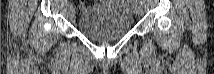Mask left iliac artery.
Wrapping results in <instances>:
<instances>
[{"mask_svg": "<svg viewBox=\"0 0 214 74\" xmlns=\"http://www.w3.org/2000/svg\"><path fill=\"white\" fill-rule=\"evenodd\" d=\"M138 2H139V4H140V5H142V4H143V1H142V0H140V1H138Z\"/></svg>", "mask_w": 214, "mask_h": 74, "instance_id": "left-iliac-artery-1", "label": "left iliac artery"}]
</instances>
